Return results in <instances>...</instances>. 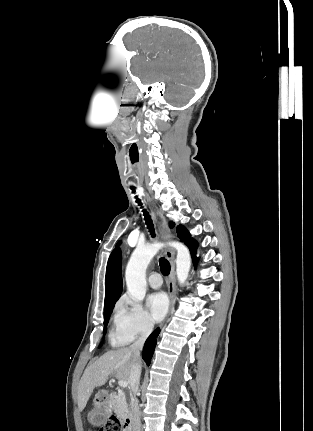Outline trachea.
Listing matches in <instances>:
<instances>
[{"label": "trachea", "instance_id": "trachea-1", "mask_svg": "<svg viewBox=\"0 0 313 431\" xmlns=\"http://www.w3.org/2000/svg\"><path fill=\"white\" fill-rule=\"evenodd\" d=\"M131 189H132V192L135 193V189L134 188H131ZM135 198H136V203H138L139 206H142L141 200L137 196H135ZM143 212H144V219H145V223L147 225V228L149 229L152 237H155L154 225L152 223L151 217L145 209H143ZM159 264H160L162 274L168 275L170 273L169 262L165 258L162 257L159 260Z\"/></svg>", "mask_w": 313, "mask_h": 431}]
</instances>
